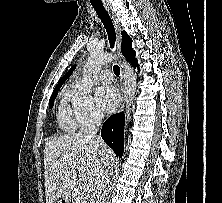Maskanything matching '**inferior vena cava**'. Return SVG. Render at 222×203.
Here are the masks:
<instances>
[{"mask_svg": "<svg viewBox=\"0 0 222 203\" xmlns=\"http://www.w3.org/2000/svg\"><path fill=\"white\" fill-rule=\"evenodd\" d=\"M94 122L97 126V129L91 132L88 136L90 138H96L97 140L101 141L102 139L100 136L97 135V131L102 123V115L96 113L94 115ZM112 173H113L112 164H107L103 172L98 176L95 196H94V203H106L107 186L109 184Z\"/></svg>", "mask_w": 222, "mask_h": 203, "instance_id": "inferior-vena-cava-1", "label": "inferior vena cava"}]
</instances>
